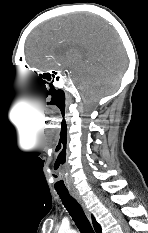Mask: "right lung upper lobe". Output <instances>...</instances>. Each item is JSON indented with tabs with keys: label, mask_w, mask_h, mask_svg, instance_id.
Here are the masks:
<instances>
[{
	"label": "right lung upper lobe",
	"mask_w": 148,
	"mask_h": 233,
	"mask_svg": "<svg viewBox=\"0 0 148 233\" xmlns=\"http://www.w3.org/2000/svg\"><path fill=\"white\" fill-rule=\"evenodd\" d=\"M93 226L96 233H101V226L96 222L95 218L92 216Z\"/></svg>",
	"instance_id": "cb5924a9"
}]
</instances>
